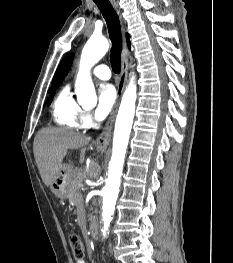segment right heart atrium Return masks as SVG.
Here are the masks:
<instances>
[{
  "label": "right heart atrium",
  "instance_id": "d8ad5b80",
  "mask_svg": "<svg viewBox=\"0 0 233 263\" xmlns=\"http://www.w3.org/2000/svg\"><path fill=\"white\" fill-rule=\"evenodd\" d=\"M82 128H89L92 125V117L88 111H83L80 117Z\"/></svg>",
  "mask_w": 233,
  "mask_h": 263
}]
</instances>
